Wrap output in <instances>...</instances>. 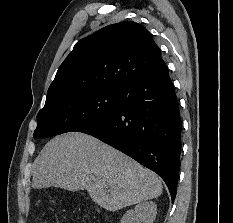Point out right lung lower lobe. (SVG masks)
Returning a JSON list of instances; mask_svg holds the SVG:
<instances>
[{
  "instance_id": "obj_1",
  "label": "right lung lower lobe",
  "mask_w": 233,
  "mask_h": 223,
  "mask_svg": "<svg viewBox=\"0 0 233 223\" xmlns=\"http://www.w3.org/2000/svg\"><path fill=\"white\" fill-rule=\"evenodd\" d=\"M182 122L167 66L120 88L116 112L78 130L156 172L176 196Z\"/></svg>"
}]
</instances>
